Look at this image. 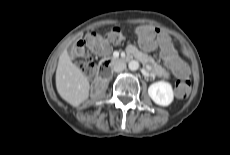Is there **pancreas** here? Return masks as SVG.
Here are the masks:
<instances>
[{"label":"pancreas","mask_w":230,"mask_h":155,"mask_svg":"<svg viewBox=\"0 0 230 155\" xmlns=\"http://www.w3.org/2000/svg\"><path fill=\"white\" fill-rule=\"evenodd\" d=\"M133 55L136 58L143 57V59H142L143 62L146 63V64H151L152 71L156 75H158L160 77H164V78H169L170 77L169 73L161 65H159L158 63H156L151 57L143 55L138 50L134 51Z\"/></svg>","instance_id":"1"}]
</instances>
